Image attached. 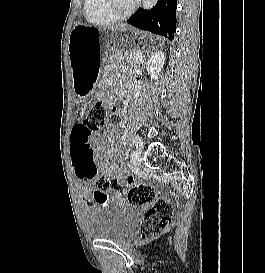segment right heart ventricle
I'll return each mask as SVG.
<instances>
[{"label":"right heart ventricle","instance_id":"e07e8e85","mask_svg":"<svg viewBox=\"0 0 265 273\" xmlns=\"http://www.w3.org/2000/svg\"><path fill=\"white\" fill-rule=\"evenodd\" d=\"M83 9L85 18L90 24L103 26L116 21L105 11L103 0H84Z\"/></svg>","mask_w":265,"mask_h":273}]
</instances>
